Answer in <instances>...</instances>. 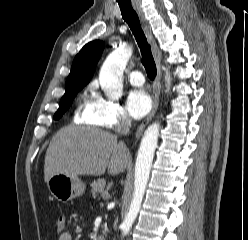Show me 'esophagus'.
Returning a JSON list of instances; mask_svg holds the SVG:
<instances>
[{
	"label": "esophagus",
	"instance_id": "1",
	"mask_svg": "<svg viewBox=\"0 0 248 240\" xmlns=\"http://www.w3.org/2000/svg\"><path fill=\"white\" fill-rule=\"evenodd\" d=\"M134 9L136 10L138 16L141 19L143 28L149 38V41L152 45V50H153V54H154V58H155V63H156V70H157V74H156V78L155 81L153 83V95H152V100H153V106H152V110L150 112V114L148 115V117L140 124V126L137 128L136 134H135V140H138L142 133L144 128L146 127V125L150 122V120L153 118L157 107H158V102H159V95H160V90H161V83H160V78H161V51L158 47V44L153 36L152 30H151V26L149 24V22L147 21V19L145 18V15L143 13V10L141 9V7L134 3Z\"/></svg>",
	"mask_w": 248,
	"mask_h": 240
}]
</instances>
